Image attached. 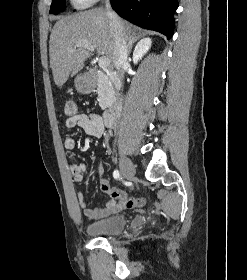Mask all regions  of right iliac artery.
<instances>
[{"label": "right iliac artery", "instance_id": "obj_1", "mask_svg": "<svg viewBox=\"0 0 247 280\" xmlns=\"http://www.w3.org/2000/svg\"><path fill=\"white\" fill-rule=\"evenodd\" d=\"M113 177H114L115 179H119V178H120V173H119L118 170H115V171L113 172Z\"/></svg>", "mask_w": 247, "mask_h": 280}]
</instances>
